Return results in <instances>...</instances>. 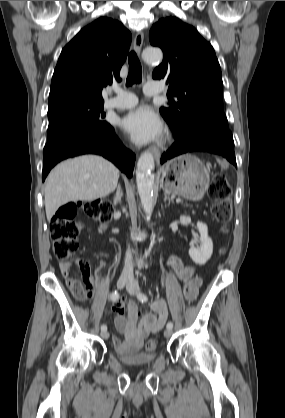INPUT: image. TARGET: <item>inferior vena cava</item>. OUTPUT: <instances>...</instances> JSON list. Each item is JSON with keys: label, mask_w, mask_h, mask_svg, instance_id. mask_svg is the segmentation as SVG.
Instances as JSON below:
<instances>
[{"label": "inferior vena cava", "mask_w": 285, "mask_h": 418, "mask_svg": "<svg viewBox=\"0 0 285 418\" xmlns=\"http://www.w3.org/2000/svg\"><path fill=\"white\" fill-rule=\"evenodd\" d=\"M123 275H125V276H132L133 275L132 254H131L130 250H128L127 253H126Z\"/></svg>", "instance_id": "obj_1"}]
</instances>
